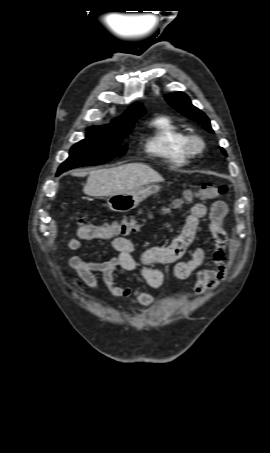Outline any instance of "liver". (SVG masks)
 I'll use <instances>...</instances> for the list:
<instances>
[{"label": "liver", "instance_id": "6515ba94", "mask_svg": "<svg viewBox=\"0 0 270 453\" xmlns=\"http://www.w3.org/2000/svg\"><path fill=\"white\" fill-rule=\"evenodd\" d=\"M73 175L84 176L85 173H74ZM163 181V177L150 166L143 163H128L118 167L91 171L83 192L96 197L112 196Z\"/></svg>", "mask_w": 270, "mask_h": 453}]
</instances>
